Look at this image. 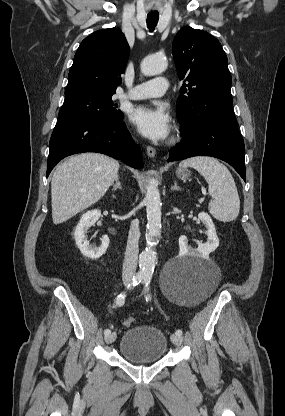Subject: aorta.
<instances>
[{"label":"aorta","mask_w":285,"mask_h":416,"mask_svg":"<svg viewBox=\"0 0 285 416\" xmlns=\"http://www.w3.org/2000/svg\"><path fill=\"white\" fill-rule=\"evenodd\" d=\"M168 64L164 57L149 55L141 63V72L145 76L161 74ZM144 203L147 211L146 241L147 248L139 256V273L151 277L156 266V253L153 246L161 234V198L154 179H151L146 188Z\"/></svg>","instance_id":"762f6f07"}]
</instances>
